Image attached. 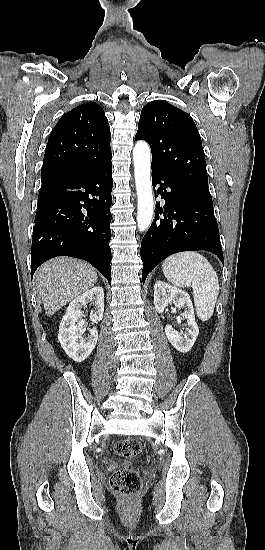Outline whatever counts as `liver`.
Listing matches in <instances>:
<instances>
[{"mask_svg":"<svg viewBox=\"0 0 265 550\" xmlns=\"http://www.w3.org/2000/svg\"><path fill=\"white\" fill-rule=\"evenodd\" d=\"M96 269L85 261L56 257L41 265L35 274L38 295L48 316L89 290L97 282Z\"/></svg>","mask_w":265,"mask_h":550,"instance_id":"1","label":"liver"}]
</instances>
